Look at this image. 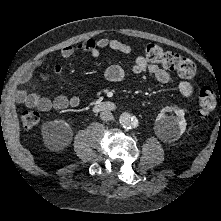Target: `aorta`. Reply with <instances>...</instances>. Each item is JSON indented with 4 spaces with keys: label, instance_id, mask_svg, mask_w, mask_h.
Segmentation results:
<instances>
[{
    "label": "aorta",
    "instance_id": "obj_1",
    "mask_svg": "<svg viewBox=\"0 0 221 221\" xmlns=\"http://www.w3.org/2000/svg\"><path fill=\"white\" fill-rule=\"evenodd\" d=\"M120 123L124 128H133L138 125V120L135 116L131 115L130 113H122L120 115Z\"/></svg>",
    "mask_w": 221,
    "mask_h": 221
}]
</instances>
